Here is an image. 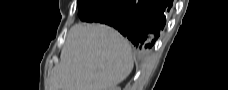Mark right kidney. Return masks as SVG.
<instances>
[{
    "label": "right kidney",
    "instance_id": "1",
    "mask_svg": "<svg viewBox=\"0 0 228 90\" xmlns=\"http://www.w3.org/2000/svg\"><path fill=\"white\" fill-rule=\"evenodd\" d=\"M109 90H121L119 86H114L113 88H110Z\"/></svg>",
    "mask_w": 228,
    "mask_h": 90
}]
</instances>
